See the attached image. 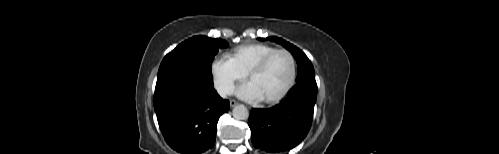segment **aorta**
<instances>
[{
	"label": "aorta",
	"instance_id": "aorta-1",
	"mask_svg": "<svg viewBox=\"0 0 499 154\" xmlns=\"http://www.w3.org/2000/svg\"><path fill=\"white\" fill-rule=\"evenodd\" d=\"M232 115L237 120H246L249 117V111L244 105H237L232 110Z\"/></svg>",
	"mask_w": 499,
	"mask_h": 154
}]
</instances>
